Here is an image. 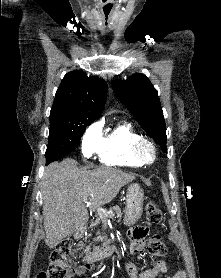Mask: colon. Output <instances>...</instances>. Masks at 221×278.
I'll use <instances>...</instances> for the list:
<instances>
[{
  "instance_id": "obj_1",
  "label": "colon",
  "mask_w": 221,
  "mask_h": 278,
  "mask_svg": "<svg viewBox=\"0 0 221 278\" xmlns=\"http://www.w3.org/2000/svg\"><path fill=\"white\" fill-rule=\"evenodd\" d=\"M146 221L151 226H158L163 221L162 211L152 202L146 206ZM72 246L70 239L60 241L50 254L47 271L37 274L36 278H67L70 270L67 258ZM147 250L151 255L160 257L166 253V246L160 236L153 235L148 241Z\"/></svg>"
}]
</instances>
